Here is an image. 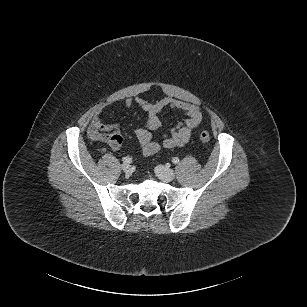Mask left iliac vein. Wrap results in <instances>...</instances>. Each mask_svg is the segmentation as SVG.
Listing matches in <instances>:
<instances>
[{
    "label": "left iliac vein",
    "instance_id": "obj_1",
    "mask_svg": "<svg viewBox=\"0 0 307 307\" xmlns=\"http://www.w3.org/2000/svg\"><path fill=\"white\" fill-rule=\"evenodd\" d=\"M155 173L164 182H169L175 177V172L173 169L164 167L162 165L156 166Z\"/></svg>",
    "mask_w": 307,
    "mask_h": 307
}]
</instances>
